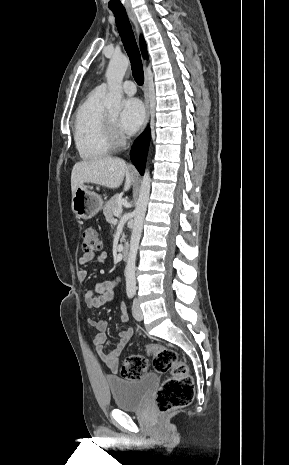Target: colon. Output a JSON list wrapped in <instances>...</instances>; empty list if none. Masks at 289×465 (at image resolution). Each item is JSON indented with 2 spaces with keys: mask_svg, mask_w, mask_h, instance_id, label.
<instances>
[{
  "mask_svg": "<svg viewBox=\"0 0 289 465\" xmlns=\"http://www.w3.org/2000/svg\"><path fill=\"white\" fill-rule=\"evenodd\" d=\"M102 248V240L94 227L82 230L84 253H94ZM153 357V367L158 373L170 372V377L162 382L156 394L159 412L167 413L189 405L194 397V384L187 363L181 361L177 352L169 347L151 344L146 346ZM146 359L138 354L127 356L120 373L125 379H139L147 373Z\"/></svg>",
  "mask_w": 289,
  "mask_h": 465,
  "instance_id": "5ec220e1",
  "label": "colon"
}]
</instances>
